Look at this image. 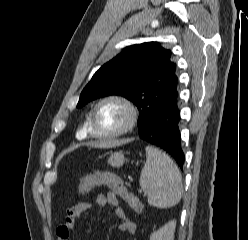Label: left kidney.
<instances>
[{
	"instance_id": "left-kidney-1",
	"label": "left kidney",
	"mask_w": 248,
	"mask_h": 240,
	"mask_svg": "<svg viewBox=\"0 0 248 240\" xmlns=\"http://www.w3.org/2000/svg\"><path fill=\"white\" fill-rule=\"evenodd\" d=\"M176 228V221H169L158 231L151 234L150 240H174V232Z\"/></svg>"
}]
</instances>
